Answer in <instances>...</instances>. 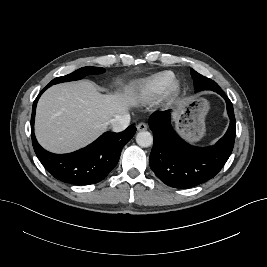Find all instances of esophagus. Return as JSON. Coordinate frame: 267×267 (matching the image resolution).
<instances>
[{
    "label": "esophagus",
    "mask_w": 267,
    "mask_h": 267,
    "mask_svg": "<svg viewBox=\"0 0 267 267\" xmlns=\"http://www.w3.org/2000/svg\"><path fill=\"white\" fill-rule=\"evenodd\" d=\"M137 130H138V131H145V130H147V124L144 123V122L139 123V124L137 125Z\"/></svg>",
    "instance_id": "obj_1"
}]
</instances>
